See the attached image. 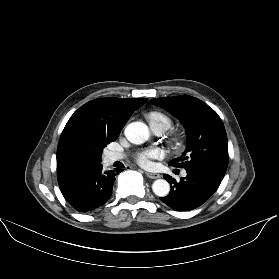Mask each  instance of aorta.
<instances>
[{
  "label": "aorta",
  "mask_w": 279,
  "mask_h": 279,
  "mask_svg": "<svg viewBox=\"0 0 279 279\" xmlns=\"http://www.w3.org/2000/svg\"><path fill=\"white\" fill-rule=\"evenodd\" d=\"M125 136L133 144H142L149 139L150 132L146 124L142 122H132L125 128ZM155 195L165 197L170 192V184L165 179L155 180L152 185Z\"/></svg>",
  "instance_id": "762f6f07"
}]
</instances>
